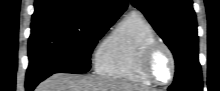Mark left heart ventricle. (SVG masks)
<instances>
[{
  "instance_id": "1",
  "label": "left heart ventricle",
  "mask_w": 220,
  "mask_h": 91,
  "mask_svg": "<svg viewBox=\"0 0 220 91\" xmlns=\"http://www.w3.org/2000/svg\"><path fill=\"white\" fill-rule=\"evenodd\" d=\"M151 70L155 78L161 82L169 79L171 64L168 54L160 49L156 52L151 61Z\"/></svg>"
}]
</instances>
